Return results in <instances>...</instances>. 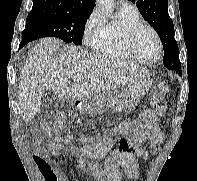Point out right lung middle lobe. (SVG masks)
I'll return each mask as SVG.
<instances>
[{
  "instance_id": "1",
  "label": "right lung middle lobe",
  "mask_w": 197,
  "mask_h": 181,
  "mask_svg": "<svg viewBox=\"0 0 197 181\" xmlns=\"http://www.w3.org/2000/svg\"><path fill=\"white\" fill-rule=\"evenodd\" d=\"M90 14L91 12L32 10L26 19L22 39L30 42L42 37H57L66 43L81 45L84 27Z\"/></svg>"
}]
</instances>
